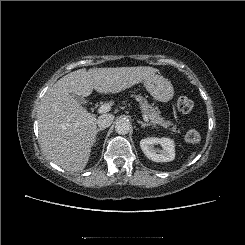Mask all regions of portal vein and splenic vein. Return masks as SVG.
<instances>
[{
  "instance_id": "1",
  "label": "portal vein and splenic vein",
  "mask_w": 245,
  "mask_h": 245,
  "mask_svg": "<svg viewBox=\"0 0 245 245\" xmlns=\"http://www.w3.org/2000/svg\"><path fill=\"white\" fill-rule=\"evenodd\" d=\"M110 110H111V105L109 103H105L99 107L98 112L102 114V113L109 112ZM142 117L145 122H149V119L146 115L142 114Z\"/></svg>"
}]
</instances>
